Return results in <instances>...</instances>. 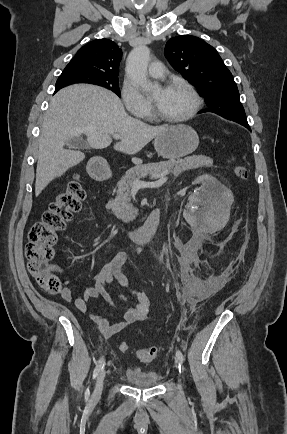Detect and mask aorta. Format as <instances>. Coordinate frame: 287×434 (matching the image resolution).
<instances>
[{
    "label": "aorta",
    "instance_id": "762f6f07",
    "mask_svg": "<svg viewBox=\"0 0 287 434\" xmlns=\"http://www.w3.org/2000/svg\"><path fill=\"white\" fill-rule=\"evenodd\" d=\"M149 60L150 49L146 45H139L130 52L126 64V73L130 79L146 90L152 88V84L147 79Z\"/></svg>",
    "mask_w": 287,
    "mask_h": 434
}]
</instances>
